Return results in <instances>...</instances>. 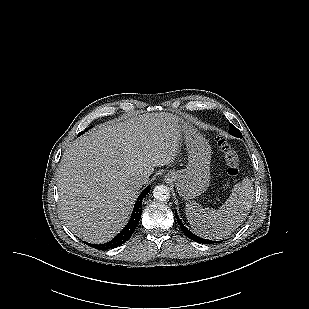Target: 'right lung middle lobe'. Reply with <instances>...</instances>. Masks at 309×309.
Instances as JSON below:
<instances>
[{"instance_id": "right-lung-middle-lobe-1", "label": "right lung middle lobe", "mask_w": 309, "mask_h": 309, "mask_svg": "<svg viewBox=\"0 0 309 309\" xmlns=\"http://www.w3.org/2000/svg\"><path fill=\"white\" fill-rule=\"evenodd\" d=\"M89 128H91V127H88L86 130L80 132V133L78 134V136L81 135V134H83V133H84L85 131H87Z\"/></svg>"}]
</instances>
